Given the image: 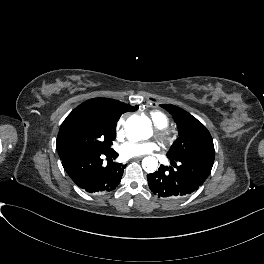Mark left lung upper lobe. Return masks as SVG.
I'll return each instance as SVG.
<instances>
[{
	"instance_id": "obj_1",
	"label": "left lung upper lobe",
	"mask_w": 264,
	"mask_h": 264,
	"mask_svg": "<svg viewBox=\"0 0 264 264\" xmlns=\"http://www.w3.org/2000/svg\"><path fill=\"white\" fill-rule=\"evenodd\" d=\"M177 122L178 137L167 152L170 163L161 165L157 174L172 185L195 191L211 173L214 144L207 128L185 110L164 104Z\"/></svg>"
}]
</instances>
